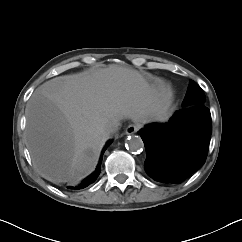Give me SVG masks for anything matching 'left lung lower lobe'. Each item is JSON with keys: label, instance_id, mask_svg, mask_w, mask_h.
<instances>
[{"label": "left lung lower lobe", "instance_id": "left-lung-lower-lobe-1", "mask_svg": "<svg viewBox=\"0 0 242 242\" xmlns=\"http://www.w3.org/2000/svg\"><path fill=\"white\" fill-rule=\"evenodd\" d=\"M211 114L204 105L177 111L167 124H149L140 130L146 149L144 168L156 181L181 183L206 161Z\"/></svg>", "mask_w": 242, "mask_h": 242}]
</instances>
